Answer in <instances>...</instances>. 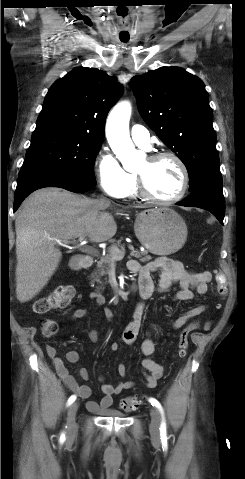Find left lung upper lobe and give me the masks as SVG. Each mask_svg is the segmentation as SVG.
<instances>
[{
    "instance_id": "1",
    "label": "left lung upper lobe",
    "mask_w": 245,
    "mask_h": 479,
    "mask_svg": "<svg viewBox=\"0 0 245 479\" xmlns=\"http://www.w3.org/2000/svg\"><path fill=\"white\" fill-rule=\"evenodd\" d=\"M131 85L139 112L187 168L193 191L220 175L213 114L202 80L180 67L135 76Z\"/></svg>"
}]
</instances>
